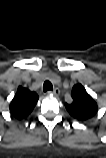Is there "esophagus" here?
<instances>
[{
  "mask_svg": "<svg viewBox=\"0 0 106 158\" xmlns=\"http://www.w3.org/2000/svg\"><path fill=\"white\" fill-rule=\"evenodd\" d=\"M48 93H51L54 96L58 97L60 95V90L58 88H55L53 91H48Z\"/></svg>",
  "mask_w": 106,
  "mask_h": 158,
  "instance_id": "esophagus-1",
  "label": "esophagus"
}]
</instances>
